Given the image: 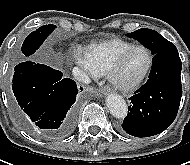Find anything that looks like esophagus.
Instances as JSON below:
<instances>
[{
    "label": "esophagus",
    "mask_w": 190,
    "mask_h": 165,
    "mask_svg": "<svg viewBox=\"0 0 190 165\" xmlns=\"http://www.w3.org/2000/svg\"><path fill=\"white\" fill-rule=\"evenodd\" d=\"M99 92L103 95H106L110 92V88L108 86L102 87Z\"/></svg>",
    "instance_id": "obj_1"
}]
</instances>
